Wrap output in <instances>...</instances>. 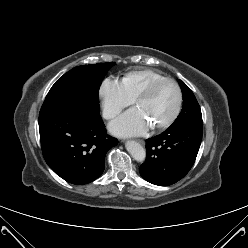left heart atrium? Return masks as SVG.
Masks as SVG:
<instances>
[{
    "mask_svg": "<svg viewBox=\"0 0 248 248\" xmlns=\"http://www.w3.org/2000/svg\"><path fill=\"white\" fill-rule=\"evenodd\" d=\"M150 122L142 110L134 107L110 123V131L118 136H139L146 133Z\"/></svg>",
    "mask_w": 248,
    "mask_h": 248,
    "instance_id": "39dd6f15",
    "label": "left heart atrium"
}]
</instances>
